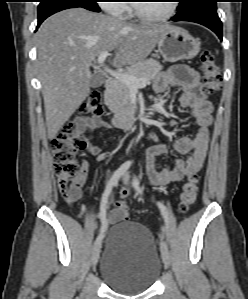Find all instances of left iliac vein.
<instances>
[{"label":"left iliac vein","instance_id":"left-iliac-vein-1","mask_svg":"<svg viewBox=\"0 0 248 299\" xmlns=\"http://www.w3.org/2000/svg\"><path fill=\"white\" fill-rule=\"evenodd\" d=\"M126 180H127V175L124 177V181H126ZM160 239H161L160 240V252H161L162 260L166 266H169L170 254H169L168 246H167L166 242L164 241L163 236H161Z\"/></svg>","mask_w":248,"mask_h":299}]
</instances>
